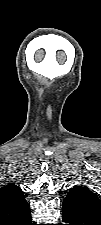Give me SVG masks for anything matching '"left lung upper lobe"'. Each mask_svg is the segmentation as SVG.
I'll return each mask as SVG.
<instances>
[{
	"instance_id": "left-lung-upper-lobe-1",
	"label": "left lung upper lobe",
	"mask_w": 101,
	"mask_h": 225,
	"mask_svg": "<svg viewBox=\"0 0 101 225\" xmlns=\"http://www.w3.org/2000/svg\"><path fill=\"white\" fill-rule=\"evenodd\" d=\"M63 210L101 220V201L93 192L82 186L69 190L63 202Z\"/></svg>"
}]
</instances>
